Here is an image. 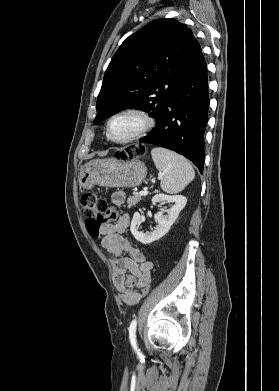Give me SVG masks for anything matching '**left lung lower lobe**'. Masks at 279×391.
Here are the masks:
<instances>
[{
    "instance_id": "1",
    "label": "left lung lower lobe",
    "mask_w": 279,
    "mask_h": 391,
    "mask_svg": "<svg viewBox=\"0 0 279 391\" xmlns=\"http://www.w3.org/2000/svg\"><path fill=\"white\" fill-rule=\"evenodd\" d=\"M208 109L207 66L202 54L164 105L154 130L140 142L176 151L190 159L202 173Z\"/></svg>"
}]
</instances>
